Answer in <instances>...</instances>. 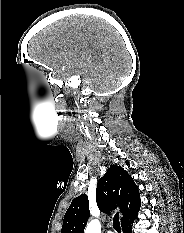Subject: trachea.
Returning <instances> with one entry per match:
<instances>
[{
  "label": "trachea",
  "mask_w": 184,
  "mask_h": 233,
  "mask_svg": "<svg viewBox=\"0 0 184 233\" xmlns=\"http://www.w3.org/2000/svg\"><path fill=\"white\" fill-rule=\"evenodd\" d=\"M113 227L118 232L121 233L120 221H119V214L116 213L113 218Z\"/></svg>",
  "instance_id": "1"
}]
</instances>
